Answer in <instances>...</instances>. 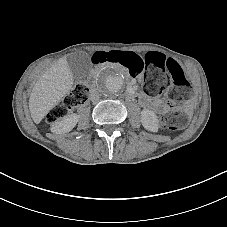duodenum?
Returning <instances> with one entry per match:
<instances>
[{
	"label": "duodenum",
	"mask_w": 227,
	"mask_h": 227,
	"mask_svg": "<svg viewBox=\"0 0 227 227\" xmlns=\"http://www.w3.org/2000/svg\"><path fill=\"white\" fill-rule=\"evenodd\" d=\"M127 92L132 97H135L142 106L146 105V100H145L146 96H138L137 92L134 89V84L133 83L129 82Z\"/></svg>",
	"instance_id": "410a0bca"
}]
</instances>
